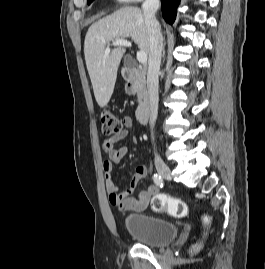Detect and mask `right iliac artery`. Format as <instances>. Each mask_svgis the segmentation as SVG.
<instances>
[{
  "instance_id": "right-iliac-artery-1",
  "label": "right iliac artery",
  "mask_w": 265,
  "mask_h": 269,
  "mask_svg": "<svg viewBox=\"0 0 265 269\" xmlns=\"http://www.w3.org/2000/svg\"><path fill=\"white\" fill-rule=\"evenodd\" d=\"M153 181H154V183L157 185V186H159V187H163V185H164V181H163V178L160 176V175H158V174H154L153 175Z\"/></svg>"
}]
</instances>
